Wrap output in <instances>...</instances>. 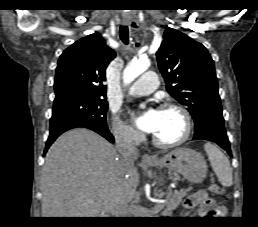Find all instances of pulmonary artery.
Instances as JSON below:
<instances>
[{
	"label": "pulmonary artery",
	"instance_id": "obj_1",
	"mask_svg": "<svg viewBox=\"0 0 258 227\" xmlns=\"http://www.w3.org/2000/svg\"><path fill=\"white\" fill-rule=\"evenodd\" d=\"M158 85V78L154 72H146L133 83L128 93L135 97L146 96L152 93Z\"/></svg>",
	"mask_w": 258,
	"mask_h": 227
}]
</instances>
